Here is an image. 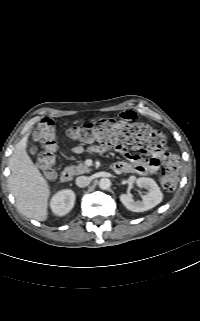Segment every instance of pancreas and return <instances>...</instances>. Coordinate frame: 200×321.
<instances>
[{
  "instance_id": "obj_1",
  "label": "pancreas",
  "mask_w": 200,
  "mask_h": 321,
  "mask_svg": "<svg viewBox=\"0 0 200 321\" xmlns=\"http://www.w3.org/2000/svg\"><path fill=\"white\" fill-rule=\"evenodd\" d=\"M71 169L74 171L76 175L83 174V173H89L91 169L85 165L84 162L79 161L76 166H72Z\"/></svg>"
}]
</instances>
